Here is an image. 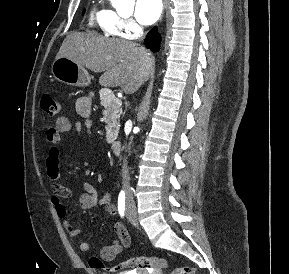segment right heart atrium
Here are the masks:
<instances>
[{"label": "right heart atrium", "mask_w": 289, "mask_h": 274, "mask_svg": "<svg viewBox=\"0 0 289 274\" xmlns=\"http://www.w3.org/2000/svg\"><path fill=\"white\" fill-rule=\"evenodd\" d=\"M113 29L117 35L132 39L141 32V27L130 17H122L116 14L113 20Z\"/></svg>", "instance_id": "right-heart-atrium-1"}]
</instances>
